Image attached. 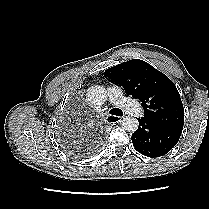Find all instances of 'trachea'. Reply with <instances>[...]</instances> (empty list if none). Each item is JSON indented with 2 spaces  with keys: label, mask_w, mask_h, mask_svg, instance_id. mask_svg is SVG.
I'll list each match as a JSON object with an SVG mask.
<instances>
[{
  "label": "trachea",
  "mask_w": 209,
  "mask_h": 209,
  "mask_svg": "<svg viewBox=\"0 0 209 209\" xmlns=\"http://www.w3.org/2000/svg\"><path fill=\"white\" fill-rule=\"evenodd\" d=\"M109 113L116 116H123V112L118 108L111 109Z\"/></svg>",
  "instance_id": "1"
}]
</instances>
